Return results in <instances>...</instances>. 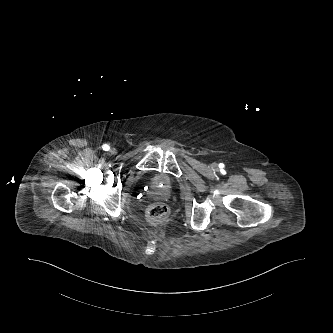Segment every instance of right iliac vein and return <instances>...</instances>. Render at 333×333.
Listing matches in <instances>:
<instances>
[{"label": "right iliac vein", "mask_w": 333, "mask_h": 333, "mask_svg": "<svg viewBox=\"0 0 333 333\" xmlns=\"http://www.w3.org/2000/svg\"><path fill=\"white\" fill-rule=\"evenodd\" d=\"M109 152H110L111 155H116L117 154V149L116 148H111Z\"/></svg>", "instance_id": "obj_1"}]
</instances>
